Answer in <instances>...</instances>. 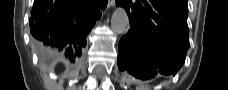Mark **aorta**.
<instances>
[{"mask_svg":"<svg viewBox=\"0 0 228 90\" xmlns=\"http://www.w3.org/2000/svg\"><path fill=\"white\" fill-rule=\"evenodd\" d=\"M112 30L118 34H123L129 29V18L127 12L122 8L118 7L114 11L111 18Z\"/></svg>","mask_w":228,"mask_h":90,"instance_id":"1","label":"aorta"}]
</instances>
